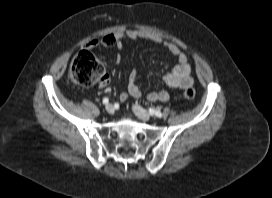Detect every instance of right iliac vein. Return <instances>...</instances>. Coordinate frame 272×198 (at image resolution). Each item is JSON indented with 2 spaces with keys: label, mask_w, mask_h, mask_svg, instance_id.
Returning <instances> with one entry per match:
<instances>
[{
  "label": "right iliac vein",
  "mask_w": 272,
  "mask_h": 198,
  "mask_svg": "<svg viewBox=\"0 0 272 198\" xmlns=\"http://www.w3.org/2000/svg\"><path fill=\"white\" fill-rule=\"evenodd\" d=\"M107 113L112 114L114 112V107L112 104H107L105 107Z\"/></svg>",
  "instance_id": "right-iliac-vein-1"
}]
</instances>
